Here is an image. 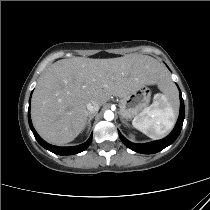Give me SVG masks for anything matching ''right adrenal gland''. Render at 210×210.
I'll return each mask as SVG.
<instances>
[{
    "mask_svg": "<svg viewBox=\"0 0 210 210\" xmlns=\"http://www.w3.org/2000/svg\"><path fill=\"white\" fill-rule=\"evenodd\" d=\"M94 118V115H90L89 116V119H88V121H87V130H89L90 129V127H91V120Z\"/></svg>",
    "mask_w": 210,
    "mask_h": 210,
    "instance_id": "right-adrenal-gland-1",
    "label": "right adrenal gland"
}]
</instances>
